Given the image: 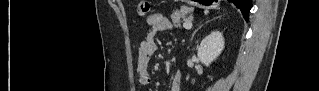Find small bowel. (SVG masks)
<instances>
[{
	"label": "small bowel",
	"mask_w": 319,
	"mask_h": 91,
	"mask_svg": "<svg viewBox=\"0 0 319 91\" xmlns=\"http://www.w3.org/2000/svg\"><path fill=\"white\" fill-rule=\"evenodd\" d=\"M146 25L149 32L145 39L138 44V57L135 66L137 81L140 85H148L152 82V72L150 68V60L158 51V46L155 41L157 34L161 32H170L172 24L170 20L161 13H154L147 17ZM171 91L181 90V74L175 71L171 77Z\"/></svg>",
	"instance_id": "obj_1"
}]
</instances>
